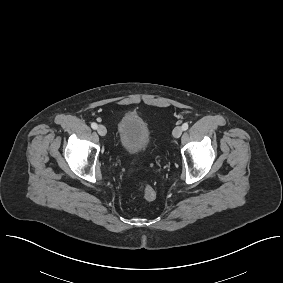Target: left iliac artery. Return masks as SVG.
Returning a JSON list of instances; mask_svg holds the SVG:
<instances>
[{
	"label": "left iliac artery",
	"mask_w": 283,
	"mask_h": 283,
	"mask_svg": "<svg viewBox=\"0 0 283 283\" xmlns=\"http://www.w3.org/2000/svg\"><path fill=\"white\" fill-rule=\"evenodd\" d=\"M188 127H189V125H188V123H184L183 125H182V130H187L188 129Z\"/></svg>",
	"instance_id": "left-iliac-artery-1"
}]
</instances>
